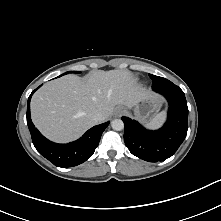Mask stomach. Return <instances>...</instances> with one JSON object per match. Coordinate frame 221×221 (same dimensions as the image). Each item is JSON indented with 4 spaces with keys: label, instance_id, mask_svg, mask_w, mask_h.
Segmentation results:
<instances>
[{
    "label": "stomach",
    "instance_id": "stomach-1",
    "mask_svg": "<svg viewBox=\"0 0 221 221\" xmlns=\"http://www.w3.org/2000/svg\"><path fill=\"white\" fill-rule=\"evenodd\" d=\"M161 100L156 96H148L134 106L135 117L141 121L151 120L160 106Z\"/></svg>",
    "mask_w": 221,
    "mask_h": 221
}]
</instances>
